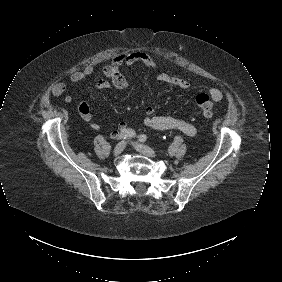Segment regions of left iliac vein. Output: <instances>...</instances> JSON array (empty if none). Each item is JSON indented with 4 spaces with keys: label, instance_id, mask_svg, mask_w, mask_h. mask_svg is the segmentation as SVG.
<instances>
[{
    "label": "left iliac vein",
    "instance_id": "4c4485c4",
    "mask_svg": "<svg viewBox=\"0 0 282 282\" xmlns=\"http://www.w3.org/2000/svg\"><path fill=\"white\" fill-rule=\"evenodd\" d=\"M133 146L138 152H140L143 155H146V156L152 157V158L156 157L155 151L152 148H150L146 145L134 142Z\"/></svg>",
    "mask_w": 282,
    "mask_h": 282
}]
</instances>
